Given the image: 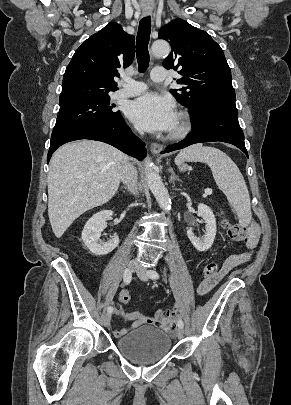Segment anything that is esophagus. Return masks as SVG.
I'll return each mask as SVG.
<instances>
[{
  "mask_svg": "<svg viewBox=\"0 0 291 405\" xmlns=\"http://www.w3.org/2000/svg\"><path fill=\"white\" fill-rule=\"evenodd\" d=\"M150 11H144L143 15L148 16L150 15ZM162 150V145L158 144V143H153L151 145V152L153 153V155H157L160 153V151Z\"/></svg>",
  "mask_w": 291,
  "mask_h": 405,
  "instance_id": "34e87169",
  "label": "esophagus"
}]
</instances>
